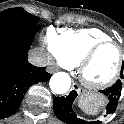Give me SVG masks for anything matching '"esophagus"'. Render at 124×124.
<instances>
[{
	"mask_svg": "<svg viewBox=\"0 0 124 124\" xmlns=\"http://www.w3.org/2000/svg\"><path fill=\"white\" fill-rule=\"evenodd\" d=\"M48 69L52 72L57 70V68L55 66H49ZM71 90H74V91L80 93V88L77 84H73L72 87H71Z\"/></svg>",
	"mask_w": 124,
	"mask_h": 124,
	"instance_id": "obj_1",
	"label": "esophagus"
}]
</instances>
